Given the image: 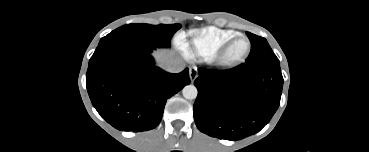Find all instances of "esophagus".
I'll return each instance as SVG.
<instances>
[{
  "instance_id": "1",
  "label": "esophagus",
  "mask_w": 369,
  "mask_h": 152,
  "mask_svg": "<svg viewBox=\"0 0 369 152\" xmlns=\"http://www.w3.org/2000/svg\"><path fill=\"white\" fill-rule=\"evenodd\" d=\"M189 76H190V79H191V81L193 82L196 78H197V76H198V70H197V68L196 67H190V69H189Z\"/></svg>"
}]
</instances>
